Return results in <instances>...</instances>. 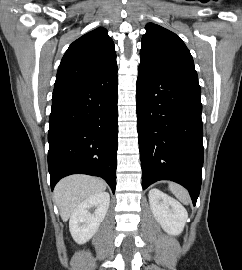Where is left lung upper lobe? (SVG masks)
Wrapping results in <instances>:
<instances>
[{
	"label": "left lung upper lobe",
	"mask_w": 242,
	"mask_h": 270,
	"mask_svg": "<svg viewBox=\"0 0 242 270\" xmlns=\"http://www.w3.org/2000/svg\"><path fill=\"white\" fill-rule=\"evenodd\" d=\"M142 37L140 64L198 83L193 58L184 42L173 32L148 23Z\"/></svg>",
	"instance_id": "obj_1"
}]
</instances>
